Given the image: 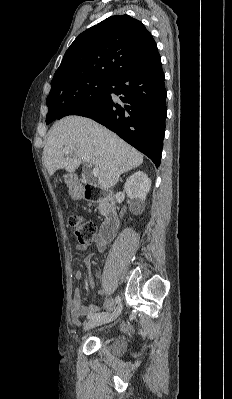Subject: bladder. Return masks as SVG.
<instances>
[{
    "instance_id": "obj_1",
    "label": "bladder",
    "mask_w": 232,
    "mask_h": 399,
    "mask_svg": "<svg viewBox=\"0 0 232 399\" xmlns=\"http://www.w3.org/2000/svg\"><path fill=\"white\" fill-rule=\"evenodd\" d=\"M126 349L125 341L118 339L109 343L106 347V351L110 356H120Z\"/></svg>"
}]
</instances>
